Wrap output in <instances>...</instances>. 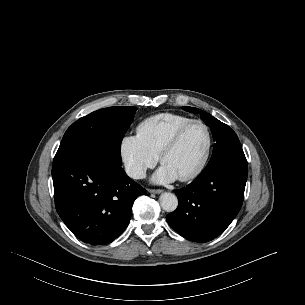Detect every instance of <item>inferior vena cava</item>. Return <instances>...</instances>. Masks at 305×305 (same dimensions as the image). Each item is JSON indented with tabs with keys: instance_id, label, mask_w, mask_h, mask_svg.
Returning a JSON list of instances; mask_svg holds the SVG:
<instances>
[{
	"instance_id": "602c4592",
	"label": "inferior vena cava",
	"mask_w": 305,
	"mask_h": 305,
	"mask_svg": "<svg viewBox=\"0 0 305 305\" xmlns=\"http://www.w3.org/2000/svg\"><path fill=\"white\" fill-rule=\"evenodd\" d=\"M125 171L133 179H143L146 176L145 169L138 165H127Z\"/></svg>"
}]
</instances>
